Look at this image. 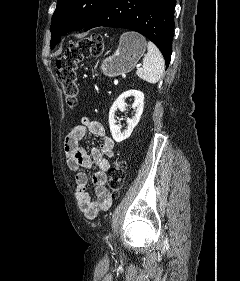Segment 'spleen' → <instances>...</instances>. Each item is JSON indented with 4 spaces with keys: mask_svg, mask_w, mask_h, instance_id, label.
<instances>
[{
    "mask_svg": "<svg viewBox=\"0 0 240 281\" xmlns=\"http://www.w3.org/2000/svg\"><path fill=\"white\" fill-rule=\"evenodd\" d=\"M147 48L148 52L143 59V67L139 68L136 74L144 81L155 84L164 72L165 62L161 52L152 42H148Z\"/></svg>",
    "mask_w": 240,
    "mask_h": 281,
    "instance_id": "1",
    "label": "spleen"
}]
</instances>
